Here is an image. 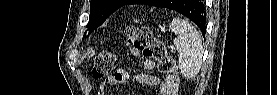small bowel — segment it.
Segmentation results:
<instances>
[{"label": "small bowel", "mask_w": 277, "mask_h": 95, "mask_svg": "<svg viewBox=\"0 0 277 95\" xmlns=\"http://www.w3.org/2000/svg\"><path fill=\"white\" fill-rule=\"evenodd\" d=\"M130 54L143 62L146 72L138 76L137 79L145 84H153L156 76L154 71L156 63L154 60L148 58L144 53L135 49H130ZM127 80V72L123 69H118L114 74L108 76L103 82L100 83L98 94L107 95V85H117ZM178 78L176 76H166L160 85V95H176Z\"/></svg>", "instance_id": "c3829d8e"}]
</instances>
